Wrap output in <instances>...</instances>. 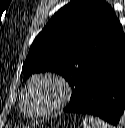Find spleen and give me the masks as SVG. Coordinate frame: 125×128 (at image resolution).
Masks as SVG:
<instances>
[{
  "label": "spleen",
  "instance_id": "1",
  "mask_svg": "<svg viewBox=\"0 0 125 128\" xmlns=\"http://www.w3.org/2000/svg\"><path fill=\"white\" fill-rule=\"evenodd\" d=\"M83 128H111V126L99 118L86 116L83 120Z\"/></svg>",
  "mask_w": 125,
  "mask_h": 128
}]
</instances>
